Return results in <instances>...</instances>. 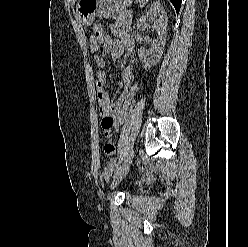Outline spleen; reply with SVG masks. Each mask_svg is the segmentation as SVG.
<instances>
[{
  "label": "spleen",
  "instance_id": "spleen-1",
  "mask_svg": "<svg viewBox=\"0 0 248 247\" xmlns=\"http://www.w3.org/2000/svg\"><path fill=\"white\" fill-rule=\"evenodd\" d=\"M138 1L140 3L141 8L146 4V2H148V0H138Z\"/></svg>",
  "mask_w": 248,
  "mask_h": 247
}]
</instances>
